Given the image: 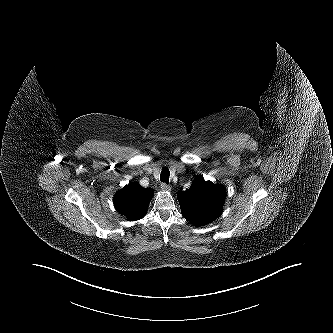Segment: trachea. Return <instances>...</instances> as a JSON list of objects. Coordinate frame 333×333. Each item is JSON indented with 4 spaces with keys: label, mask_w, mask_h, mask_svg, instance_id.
Instances as JSON below:
<instances>
[{
    "label": "trachea",
    "mask_w": 333,
    "mask_h": 333,
    "mask_svg": "<svg viewBox=\"0 0 333 333\" xmlns=\"http://www.w3.org/2000/svg\"><path fill=\"white\" fill-rule=\"evenodd\" d=\"M169 176H170V172L168 170L167 167H163L161 174H160V180L162 182H165L166 184H168L169 182Z\"/></svg>",
    "instance_id": "1"
}]
</instances>
